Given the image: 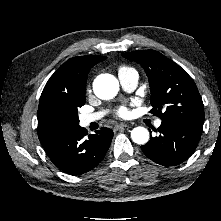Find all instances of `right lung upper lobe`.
<instances>
[{"label":"right lung upper lobe","instance_id":"1","mask_svg":"<svg viewBox=\"0 0 221 221\" xmlns=\"http://www.w3.org/2000/svg\"><path fill=\"white\" fill-rule=\"evenodd\" d=\"M105 59L98 55L73 57L50 77L41 94L37 113L38 137L43 147L73 131L52 120L51 108L57 103L86 100L87 75L95 64Z\"/></svg>","mask_w":221,"mask_h":221}]
</instances>
